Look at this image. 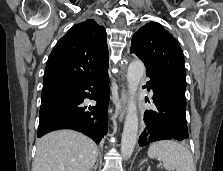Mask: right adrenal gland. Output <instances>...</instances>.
<instances>
[{"mask_svg": "<svg viewBox=\"0 0 223 171\" xmlns=\"http://www.w3.org/2000/svg\"><path fill=\"white\" fill-rule=\"evenodd\" d=\"M97 167H98V160H97L96 164L91 168L90 171H93V170L96 171Z\"/></svg>", "mask_w": 223, "mask_h": 171, "instance_id": "right-adrenal-gland-1", "label": "right adrenal gland"}]
</instances>
